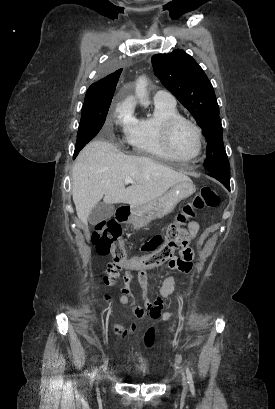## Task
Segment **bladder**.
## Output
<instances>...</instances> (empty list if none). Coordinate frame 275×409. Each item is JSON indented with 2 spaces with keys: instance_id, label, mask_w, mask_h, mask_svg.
<instances>
[{
  "instance_id": "bladder-1",
  "label": "bladder",
  "mask_w": 275,
  "mask_h": 409,
  "mask_svg": "<svg viewBox=\"0 0 275 409\" xmlns=\"http://www.w3.org/2000/svg\"><path fill=\"white\" fill-rule=\"evenodd\" d=\"M131 370L136 374V379L138 380H148L150 379L149 369L144 363H134L131 366Z\"/></svg>"
}]
</instances>
